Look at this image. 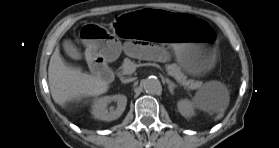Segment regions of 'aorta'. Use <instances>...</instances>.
I'll list each match as a JSON object with an SVG mask.
<instances>
[{
	"label": "aorta",
	"instance_id": "obj_1",
	"mask_svg": "<svg viewBox=\"0 0 279 148\" xmlns=\"http://www.w3.org/2000/svg\"><path fill=\"white\" fill-rule=\"evenodd\" d=\"M144 90L149 94H160L162 86L157 77H148L143 81Z\"/></svg>",
	"mask_w": 279,
	"mask_h": 148
}]
</instances>
